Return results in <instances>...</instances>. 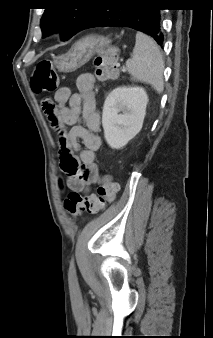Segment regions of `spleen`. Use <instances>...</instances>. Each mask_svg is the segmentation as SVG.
Instances as JSON below:
<instances>
[{"label":"spleen","mask_w":213,"mask_h":338,"mask_svg":"<svg viewBox=\"0 0 213 338\" xmlns=\"http://www.w3.org/2000/svg\"><path fill=\"white\" fill-rule=\"evenodd\" d=\"M128 73L136 81L150 84L157 93L164 89V61L157 43L142 32L136 33L133 56L126 61Z\"/></svg>","instance_id":"3e777b00"}]
</instances>
